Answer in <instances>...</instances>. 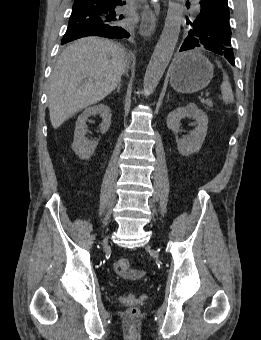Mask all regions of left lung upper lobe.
<instances>
[{
  "label": "left lung upper lobe",
  "mask_w": 261,
  "mask_h": 340,
  "mask_svg": "<svg viewBox=\"0 0 261 340\" xmlns=\"http://www.w3.org/2000/svg\"><path fill=\"white\" fill-rule=\"evenodd\" d=\"M191 26L187 36H196L201 41V47L225 56L232 51L231 30L229 19L213 20L200 26L195 22L189 23Z\"/></svg>",
  "instance_id": "1"
}]
</instances>
